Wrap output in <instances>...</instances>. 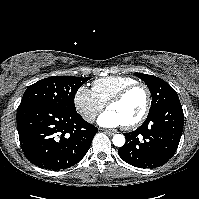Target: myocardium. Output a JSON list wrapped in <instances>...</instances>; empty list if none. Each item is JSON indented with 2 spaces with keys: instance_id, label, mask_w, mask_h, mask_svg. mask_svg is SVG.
Returning a JSON list of instances; mask_svg holds the SVG:
<instances>
[{
  "instance_id": "obj_1",
  "label": "myocardium",
  "mask_w": 199,
  "mask_h": 199,
  "mask_svg": "<svg viewBox=\"0 0 199 199\" xmlns=\"http://www.w3.org/2000/svg\"><path fill=\"white\" fill-rule=\"evenodd\" d=\"M136 88H141L144 90L145 92V106H144V110L142 112V114L133 122L129 123V124H125L123 125L125 129H133L138 127L140 124H142L144 122V120L147 118L149 112H150V108H151V103H152V98H151V91L149 89V87L141 82H134L131 83L127 86H125L123 89H121L115 96H113L107 103V108H109L111 105L121 102L126 95L136 89Z\"/></svg>"
}]
</instances>
